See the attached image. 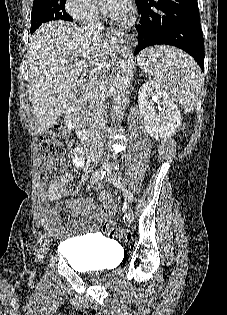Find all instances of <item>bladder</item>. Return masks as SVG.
<instances>
[{"mask_svg": "<svg viewBox=\"0 0 227 315\" xmlns=\"http://www.w3.org/2000/svg\"><path fill=\"white\" fill-rule=\"evenodd\" d=\"M65 247H72L75 254H67L69 264L79 270H108L121 260L118 246L105 237L84 235L66 240Z\"/></svg>", "mask_w": 227, "mask_h": 315, "instance_id": "31cf9c89", "label": "bladder"}]
</instances>
